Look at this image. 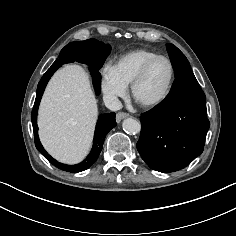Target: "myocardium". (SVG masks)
I'll list each match as a JSON object with an SVG mask.
<instances>
[{
	"mask_svg": "<svg viewBox=\"0 0 236 236\" xmlns=\"http://www.w3.org/2000/svg\"><path fill=\"white\" fill-rule=\"evenodd\" d=\"M158 60H165L167 61V63L170 66V79L168 82V85L164 91V93L157 99L155 100H151V101H140L137 98V88L140 85V83L142 82V80L144 79L145 75L147 74L148 70L150 69V67ZM175 66L172 62V60L164 55H157L151 59H149L138 71V73L136 74V76L134 77L133 81L131 82V94L132 97L134 98V100L142 107L144 108H154L157 107L159 105H161L162 103H164L167 98L169 97L172 89H173V85H174V81H175Z\"/></svg>",
	"mask_w": 236,
	"mask_h": 236,
	"instance_id": "myocardium-1",
	"label": "myocardium"
}]
</instances>
